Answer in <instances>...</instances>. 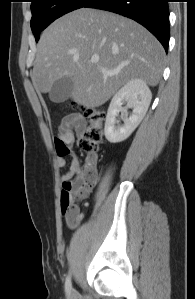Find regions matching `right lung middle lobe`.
<instances>
[{
  "label": "right lung middle lobe",
  "instance_id": "right-lung-middle-lobe-1",
  "mask_svg": "<svg viewBox=\"0 0 195 299\" xmlns=\"http://www.w3.org/2000/svg\"><path fill=\"white\" fill-rule=\"evenodd\" d=\"M90 0H33L31 29L36 42L40 32L62 15L83 7Z\"/></svg>",
  "mask_w": 195,
  "mask_h": 299
}]
</instances>
